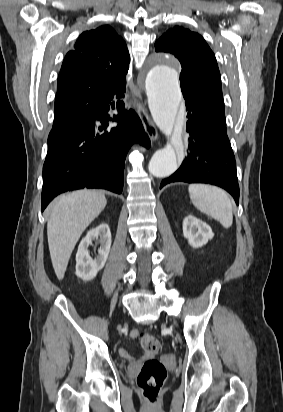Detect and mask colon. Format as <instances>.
Here are the masks:
<instances>
[{
	"mask_svg": "<svg viewBox=\"0 0 283 412\" xmlns=\"http://www.w3.org/2000/svg\"><path fill=\"white\" fill-rule=\"evenodd\" d=\"M137 338L142 348L149 353H158L162 348L161 342L147 332L138 333ZM166 376V368L159 360L151 358L143 364L137 377V385L150 404L158 402Z\"/></svg>",
	"mask_w": 283,
	"mask_h": 412,
	"instance_id": "1",
	"label": "colon"
}]
</instances>
